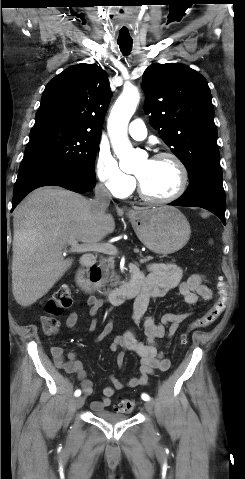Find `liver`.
Here are the masks:
<instances>
[{
	"label": "liver",
	"mask_w": 245,
	"mask_h": 479,
	"mask_svg": "<svg viewBox=\"0 0 245 479\" xmlns=\"http://www.w3.org/2000/svg\"><path fill=\"white\" fill-rule=\"evenodd\" d=\"M12 287L27 307L43 297L70 268L64 258L70 241L97 243L112 233L115 221L82 195L60 187L33 191L13 216Z\"/></svg>",
	"instance_id": "liver-1"
}]
</instances>
